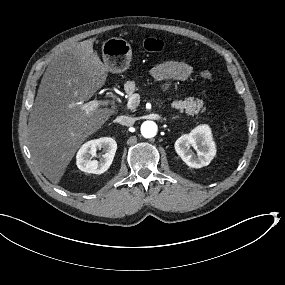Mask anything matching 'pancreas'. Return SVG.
I'll use <instances>...</instances> for the list:
<instances>
[{
	"label": "pancreas",
	"mask_w": 285,
	"mask_h": 285,
	"mask_svg": "<svg viewBox=\"0 0 285 285\" xmlns=\"http://www.w3.org/2000/svg\"><path fill=\"white\" fill-rule=\"evenodd\" d=\"M124 91L127 94L137 93L142 91V86L138 82H132L127 79L124 82ZM203 101L200 99H194V97H188L185 100L173 101L171 106L175 109L180 110L181 113L185 112L188 115H196L203 107Z\"/></svg>",
	"instance_id": "cf45deb5"
}]
</instances>
